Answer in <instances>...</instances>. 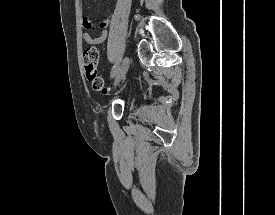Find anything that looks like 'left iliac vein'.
I'll return each instance as SVG.
<instances>
[{
	"label": "left iliac vein",
	"mask_w": 275,
	"mask_h": 215,
	"mask_svg": "<svg viewBox=\"0 0 275 215\" xmlns=\"http://www.w3.org/2000/svg\"><path fill=\"white\" fill-rule=\"evenodd\" d=\"M129 65H130V60H129L128 57H125L122 60L120 68L118 70V73H117V76H116V82L121 81L125 77L128 69H129Z\"/></svg>",
	"instance_id": "left-iliac-vein-1"
}]
</instances>
